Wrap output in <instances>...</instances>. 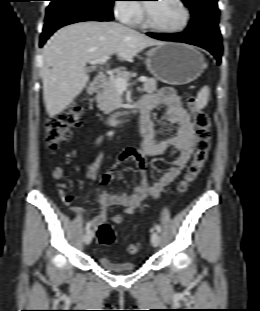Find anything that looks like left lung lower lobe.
I'll return each instance as SVG.
<instances>
[{
    "label": "left lung lower lobe",
    "instance_id": "left-lung-lower-lobe-1",
    "mask_svg": "<svg viewBox=\"0 0 260 311\" xmlns=\"http://www.w3.org/2000/svg\"><path fill=\"white\" fill-rule=\"evenodd\" d=\"M147 34L153 38L160 40L184 42L200 46L210 51L215 56L218 63L221 62V54H222L221 36L207 32H197L191 30H186L185 32L174 34H162V33H147Z\"/></svg>",
    "mask_w": 260,
    "mask_h": 311
}]
</instances>
